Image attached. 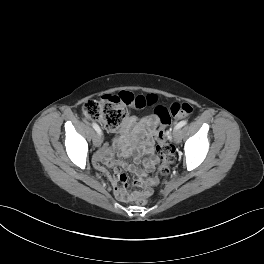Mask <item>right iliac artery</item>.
<instances>
[{
  "label": "right iliac artery",
  "instance_id": "82829eb1",
  "mask_svg": "<svg viewBox=\"0 0 264 264\" xmlns=\"http://www.w3.org/2000/svg\"><path fill=\"white\" fill-rule=\"evenodd\" d=\"M93 128L97 131L98 134L101 135V129L96 123H92Z\"/></svg>",
  "mask_w": 264,
  "mask_h": 264
}]
</instances>
